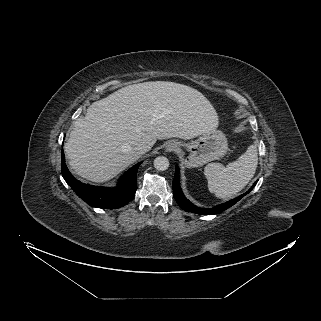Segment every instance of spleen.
Here are the masks:
<instances>
[{
    "label": "spleen",
    "instance_id": "1",
    "mask_svg": "<svg viewBox=\"0 0 321 321\" xmlns=\"http://www.w3.org/2000/svg\"><path fill=\"white\" fill-rule=\"evenodd\" d=\"M258 164L257 147L252 144L236 161L224 166L209 163L204 169L208 189L218 198H228L241 191L253 178Z\"/></svg>",
    "mask_w": 321,
    "mask_h": 321
}]
</instances>
